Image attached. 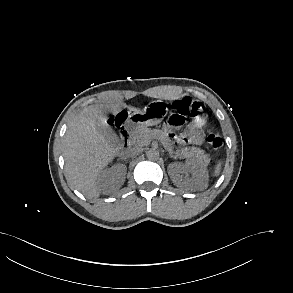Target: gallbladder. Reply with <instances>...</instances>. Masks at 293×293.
Returning a JSON list of instances; mask_svg holds the SVG:
<instances>
[{
    "instance_id": "bac80fb5",
    "label": "gallbladder",
    "mask_w": 293,
    "mask_h": 293,
    "mask_svg": "<svg viewBox=\"0 0 293 293\" xmlns=\"http://www.w3.org/2000/svg\"><path fill=\"white\" fill-rule=\"evenodd\" d=\"M97 130L111 143H118L119 142V138L118 136L115 134V132L113 131V129L111 128V126H109L106 123H103L101 121H97L95 124Z\"/></svg>"
}]
</instances>
